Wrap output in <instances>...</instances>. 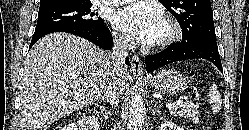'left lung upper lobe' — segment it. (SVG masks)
Masks as SVG:
<instances>
[{
  "label": "left lung upper lobe",
  "instance_id": "5c2ea615",
  "mask_svg": "<svg viewBox=\"0 0 249 130\" xmlns=\"http://www.w3.org/2000/svg\"><path fill=\"white\" fill-rule=\"evenodd\" d=\"M177 19L182 42L194 39L216 41L210 0H159Z\"/></svg>",
  "mask_w": 249,
  "mask_h": 130
}]
</instances>
